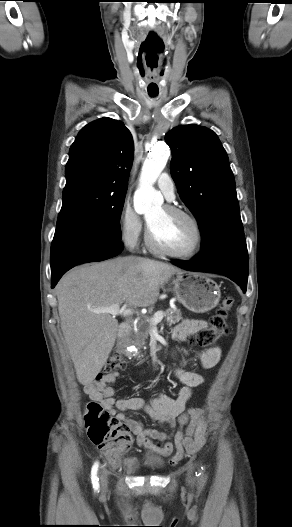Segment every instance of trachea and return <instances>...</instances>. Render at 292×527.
Instances as JSON below:
<instances>
[{
	"mask_svg": "<svg viewBox=\"0 0 292 527\" xmlns=\"http://www.w3.org/2000/svg\"><path fill=\"white\" fill-rule=\"evenodd\" d=\"M152 97H155L156 95L151 94Z\"/></svg>",
	"mask_w": 292,
	"mask_h": 527,
	"instance_id": "trachea-1",
	"label": "trachea"
}]
</instances>
